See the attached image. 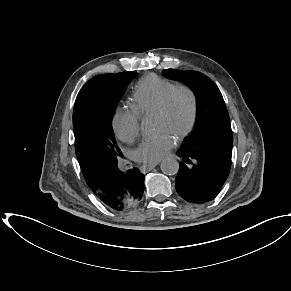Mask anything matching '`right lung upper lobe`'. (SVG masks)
<instances>
[{
    "label": "right lung upper lobe",
    "instance_id": "right-lung-upper-lobe-1",
    "mask_svg": "<svg viewBox=\"0 0 291 291\" xmlns=\"http://www.w3.org/2000/svg\"><path fill=\"white\" fill-rule=\"evenodd\" d=\"M78 160L82 171L85 173L84 176L88 186L95 194L99 193L102 186L92 175V172H94L96 165L82 158H78Z\"/></svg>",
    "mask_w": 291,
    "mask_h": 291
}]
</instances>
